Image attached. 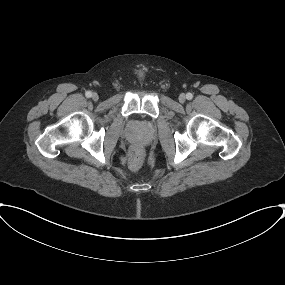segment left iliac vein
I'll return each mask as SVG.
<instances>
[{"label":"left iliac vein","mask_w":285,"mask_h":285,"mask_svg":"<svg viewBox=\"0 0 285 285\" xmlns=\"http://www.w3.org/2000/svg\"><path fill=\"white\" fill-rule=\"evenodd\" d=\"M185 100H186L185 94H180V95H179V102L184 103Z\"/></svg>","instance_id":"1"}]
</instances>
